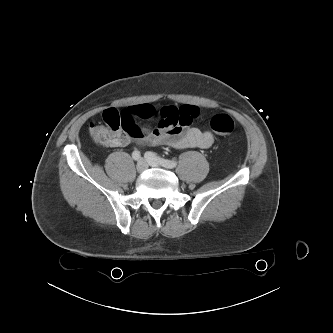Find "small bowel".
<instances>
[{
    "instance_id": "obj_1",
    "label": "small bowel",
    "mask_w": 333,
    "mask_h": 333,
    "mask_svg": "<svg viewBox=\"0 0 333 333\" xmlns=\"http://www.w3.org/2000/svg\"><path fill=\"white\" fill-rule=\"evenodd\" d=\"M127 113L134 118L136 129L133 133L118 132L112 147H123L135 141L138 144L166 145L176 149H207L214 142L211 132L191 126L199 116V109L195 106L156 109L150 105H140L130 107ZM149 119L157 120V125L152 128L137 123Z\"/></svg>"
}]
</instances>
